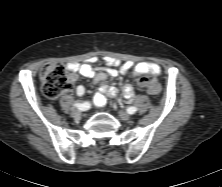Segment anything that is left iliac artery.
I'll list each match as a JSON object with an SVG mask.
<instances>
[{
    "instance_id": "obj_1",
    "label": "left iliac artery",
    "mask_w": 222,
    "mask_h": 187,
    "mask_svg": "<svg viewBox=\"0 0 222 187\" xmlns=\"http://www.w3.org/2000/svg\"><path fill=\"white\" fill-rule=\"evenodd\" d=\"M137 111V108L136 107H128L127 108V112L129 113V114H134L135 112Z\"/></svg>"
}]
</instances>
